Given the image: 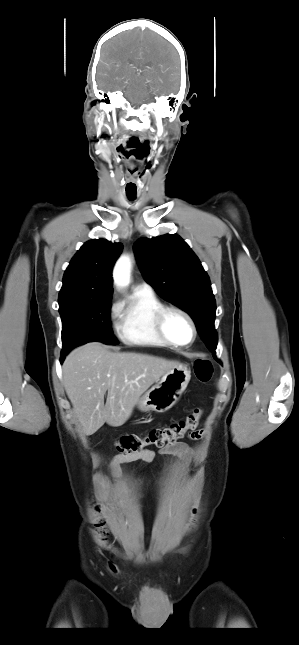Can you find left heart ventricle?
I'll use <instances>...</instances> for the list:
<instances>
[{"instance_id":"left-heart-ventricle-1","label":"left heart ventricle","mask_w":299,"mask_h":645,"mask_svg":"<svg viewBox=\"0 0 299 645\" xmlns=\"http://www.w3.org/2000/svg\"><path fill=\"white\" fill-rule=\"evenodd\" d=\"M168 335L176 342L187 343L192 337L188 321L178 313H170L166 320Z\"/></svg>"}]
</instances>
